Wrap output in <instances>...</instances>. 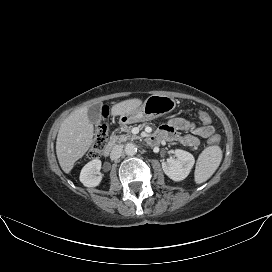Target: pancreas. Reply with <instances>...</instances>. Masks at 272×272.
I'll use <instances>...</instances> for the list:
<instances>
[{
	"label": "pancreas",
	"instance_id": "cf45deb5",
	"mask_svg": "<svg viewBox=\"0 0 272 272\" xmlns=\"http://www.w3.org/2000/svg\"><path fill=\"white\" fill-rule=\"evenodd\" d=\"M120 135L113 133L111 135V143H121L125 142L128 139H137L138 137L131 134V126L123 125L119 130ZM122 133V134H121Z\"/></svg>",
	"mask_w": 272,
	"mask_h": 272
}]
</instances>
